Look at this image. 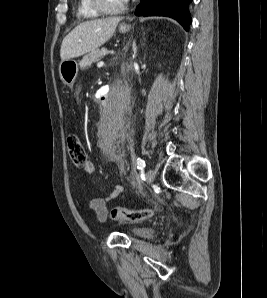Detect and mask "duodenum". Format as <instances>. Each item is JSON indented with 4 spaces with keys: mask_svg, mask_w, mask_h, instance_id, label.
<instances>
[{
    "mask_svg": "<svg viewBox=\"0 0 267 298\" xmlns=\"http://www.w3.org/2000/svg\"><path fill=\"white\" fill-rule=\"evenodd\" d=\"M113 93L112 89H110L105 95L102 96V98H99V103L96 104V109H108V98Z\"/></svg>",
    "mask_w": 267,
    "mask_h": 298,
    "instance_id": "410a0bca",
    "label": "duodenum"
}]
</instances>
